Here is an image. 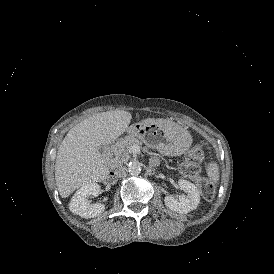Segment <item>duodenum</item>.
I'll list each match as a JSON object with an SVG mask.
<instances>
[{
	"instance_id": "duodenum-1",
	"label": "duodenum",
	"mask_w": 274,
	"mask_h": 274,
	"mask_svg": "<svg viewBox=\"0 0 274 274\" xmlns=\"http://www.w3.org/2000/svg\"><path fill=\"white\" fill-rule=\"evenodd\" d=\"M109 155H110V146H107L106 149H105V157H106V161H107L108 164L110 163ZM109 176L113 177L114 173L112 171H110Z\"/></svg>"
}]
</instances>
